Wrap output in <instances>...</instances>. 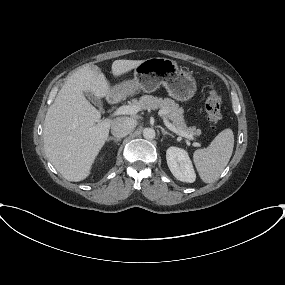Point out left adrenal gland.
<instances>
[{
    "label": "left adrenal gland",
    "mask_w": 285,
    "mask_h": 285,
    "mask_svg": "<svg viewBox=\"0 0 285 285\" xmlns=\"http://www.w3.org/2000/svg\"><path fill=\"white\" fill-rule=\"evenodd\" d=\"M162 134H163V135H169V136H171L172 138H174V135L171 134V133H169V132H167L165 129H162Z\"/></svg>",
    "instance_id": "left-adrenal-gland-1"
}]
</instances>
